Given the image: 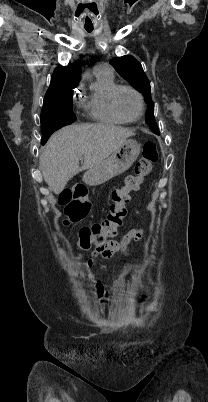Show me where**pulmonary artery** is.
I'll list each match as a JSON object with an SVG mask.
<instances>
[{"label": "pulmonary artery", "instance_id": "e3ab8cb5", "mask_svg": "<svg viewBox=\"0 0 208 402\" xmlns=\"http://www.w3.org/2000/svg\"><path fill=\"white\" fill-rule=\"evenodd\" d=\"M94 72L95 73H102L108 77H113L114 73H113V69L111 68V66L109 64H101V65H97L94 67Z\"/></svg>", "mask_w": 208, "mask_h": 402}]
</instances>
